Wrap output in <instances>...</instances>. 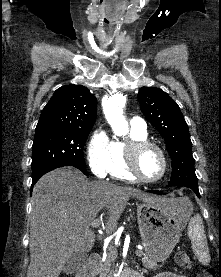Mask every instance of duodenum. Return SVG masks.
Returning <instances> with one entry per match:
<instances>
[{
    "mask_svg": "<svg viewBox=\"0 0 221 277\" xmlns=\"http://www.w3.org/2000/svg\"><path fill=\"white\" fill-rule=\"evenodd\" d=\"M101 265V256L97 253H94L91 255L88 264L79 271L77 277H95L100 271ZM124 277H128V275H125Z\"/></svg>",
    "mask_w": 221,
    "mask_h": 277,
    "instance_id": "410a0bca",
    "label": "duodenum"
}]
</instances>
